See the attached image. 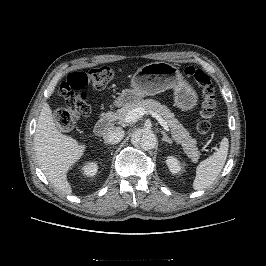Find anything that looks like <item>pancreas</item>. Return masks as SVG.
<instances>
[{
  "label": "pancreas",
  "instance_id": "pancreas-1",
  "mask_svg": "<svg viewBox=\"0 0 266 266\" xmlns=\"http://www.w3.org/2000/svg\"><path fill=\"white\" fill-rule=\"evenodd\" d=\"M142 107L145 111L154 112L161 116L171 129V134L174 140L181 144L184 152L192 162H197L199 159L196 140L189 136V132L179 123L175 115L168 109L167 106L153 99L139 100L135 103L125 105L117 112L112 113V120H118L120 123L125 122L126 115L133 109Z\"/></svg>",
  "mask_w": 266,
  "mask_h": 266
}]
</instances>
